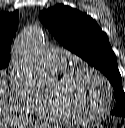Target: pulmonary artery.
<instances>
[{
  "instance_id": "obj_1",
  "label": "pulmonary artery",
  "mask_w": 125,
  "mask_h": 128,
  "mask_svg": "<svg viewBox=\"0 0 125 128\" xmlns=\"http://www.w3.org/2000/svg\"><path fill=\"white\" fill-rule=\"evenodd\" d=\"M66 52L59 47H49L45 51L47 64L52 68H62L66 64Z\"/></svg>"
}]
</instances>
